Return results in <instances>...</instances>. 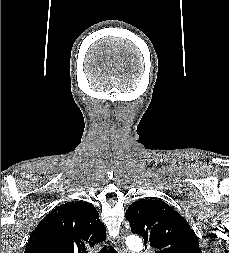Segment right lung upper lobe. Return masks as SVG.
I'll return each instance as SVG.
<instances>
[{"label":"right lung upper lobe","mask_w":229,"mask_h":253,"mask_svg":"<svg viewBox=\"0 0 229 253\" xmlns=\"http://www.w3.org/2000/svg\"><path fill=\"white\" fill-rule=\"evenodd\" d=\"M106 238L96 208L83 201L56 207L32 231L24 253H88Z\"/></svg>","instance_id":"1"}]
</instances>
